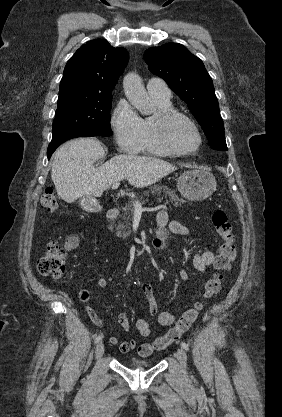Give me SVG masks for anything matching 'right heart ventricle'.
<instances>
[{
    "instance_id": "obj_1",
    "label": "right heart ventricle",
    "mask_w": 282,
    "mask_h": 417,
    "mask_svg": "<svg viewBox=\"0 0 282 417\" xmlns=\"http://www.w3.org/2000/svg\"><path fill=\"white\" fill-rule=\"evenodd\" d=\"M158 109H173L172 104L169 101H163L153 99ZM143 130H144V151L153 152L156 154H171L163 145L160 143L158 136L152 126V117H146L142 119Z\"/></svg>"
}]
</instances>
